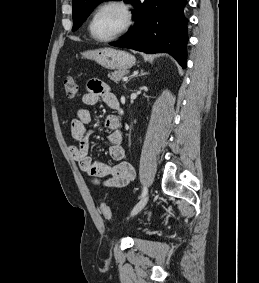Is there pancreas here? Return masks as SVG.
I'll return each instance as SVG.
<instances>
[{"label":"pancreas","instance_id":"1","mask_svg":"<svg viewBox=\"0 0 259 283\" xmlns=\"http://www.w3.org/2000/svg\"><path fill=\"white\" fill-rule=\"evenodd\" d=\"M127 74L126 70H117L108 74V77L114 81L119 82Z\"/></svg>","mask_w":259,"mask_h":283}]
</instances>
